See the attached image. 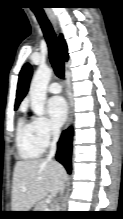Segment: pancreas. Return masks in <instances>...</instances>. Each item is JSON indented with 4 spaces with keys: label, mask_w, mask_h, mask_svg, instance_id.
I'll return each instance as SVG.
<instances>
[{
    "label": "pancreas",
    "mask_w": 123,
    "mask_h": 219,
    "mask_svg": "<svg viewBox=\"0 0 123 219\" xmlns=\"http://www.w3.org/2000/svg\"><path fill=\"white\" fill-rule=\"evenodd\" d=\"M46 204L44 202H38L35 206V211H44Z\"/></svg>",
    "instance_id": "1"
}]
</instances>
